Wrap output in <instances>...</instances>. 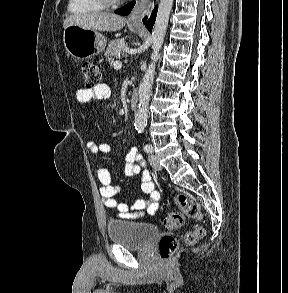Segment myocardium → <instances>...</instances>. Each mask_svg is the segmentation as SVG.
Instances as JSON below:
<instances>
[{
  "mask_svg": "<svg viewBox=\"0 0 288 293\" xmlns=\"http://www.w3.org/2000/svg\"><path fill=\"white\" fill-rule=\"evenodd\" d=\"M106 5H115L120 3L122 0H101Z\"/></svg>",
  "mask_w": 288,
  "mask_h": 293,
  "instance_id": "f54148a6",
  "label": "myocardium"
}]
</instances>
